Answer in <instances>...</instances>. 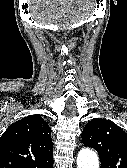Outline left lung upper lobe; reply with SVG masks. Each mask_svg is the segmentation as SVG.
Returning a JSON list of instances; mask_svg holds the SVG:
<instances>
[{"label": "left lung upper lobe", "mask_w": 127, "mask_h": 168, "mask_svg": "<svg viewBox=\"0 0 127 168\" xmlns=\"http://www.w3.org/2000/svg\"><path fill=\"white\" fill-rule=\"evenodd\" d=\"M82 143L98 152L101 168H127V133L111 120L89 121L82 131Z\"/></svg>", "instance_id": "left-lung-upper-lobe-1"}]
</instances>
